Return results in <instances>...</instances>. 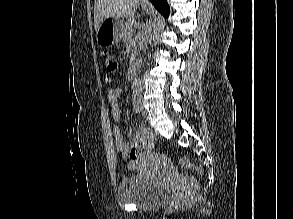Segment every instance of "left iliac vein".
I'll return each mask as SVG.
<instances>
[{"label":"left iliac vein","instance_id":"4c4485c4","mask_svg":"<svg viewBox=\"0 0 293 219\" xmlns=\"http://www.w3.org/2000/svg\"><path fill=\"white\" fill-rule=\"evenodd\" d=\"M141 112H142V116L146 119V121H148L149 120V114H148L147 110L144 108L142 100H141Z\"/></svg>","mask_w":293,"mask_h":219}]
</instances>
